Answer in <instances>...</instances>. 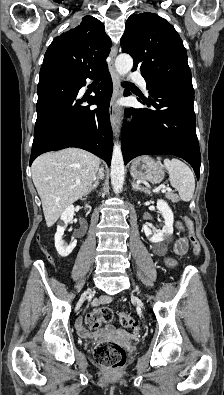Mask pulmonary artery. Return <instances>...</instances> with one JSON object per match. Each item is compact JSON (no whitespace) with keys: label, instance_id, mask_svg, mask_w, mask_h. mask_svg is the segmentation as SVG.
<instances>
[{"label":"pulmonary artery","instance_id":"obj_1","mask_svg":"<svg viewBox=\"0 0 224 395\" xmlns=\"http://www.w3.org/2000/svg\"><path fill=\"white\" fill-rule=\"evenodd\" d=\"M130 76H131L132 80L138 82L141 85V87L144 91H147V83H146L145 79L143 78V76L139 72L133 71V72H131Z\"/></svg>","mask_w":224,"mask_h":395}]
</instances>
